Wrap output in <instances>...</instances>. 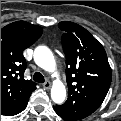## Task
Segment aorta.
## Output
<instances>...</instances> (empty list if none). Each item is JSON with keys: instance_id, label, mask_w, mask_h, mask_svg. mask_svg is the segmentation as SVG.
<instances>
[{"instance_id": "1", "label": "aorta", "mask_w": 121, "mask_h": 121, "mask_svg": "<svg viewBox=\"0 0 121 121\" xmlns=\"http://www.w3.org/2000/svg\"><path fill=\"white\" fill-rule=\"evenodd\" d=\"M35 63L46 71L55 70V59L51 50L46 46H38L34 50ZM51 98L54 103L62 104L66 98V88L61 81H56L51 88Z\"/></svg>"}]
</instances>
